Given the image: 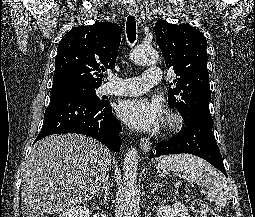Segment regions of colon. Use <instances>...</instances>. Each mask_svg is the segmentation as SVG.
I'll list each match as a JSON object with an SVG mask.
<instances>
[{"mask_svg":"<svg viewBox=\"0 0 255 217\" xmlns=\"http://www.w3.org/2000/svg\"><path fill=\"white\" fill-rule=\"evenodd\" d=\"M192 208L199 217H221L202 199H194Z\"/></svg>","mask_w":255,"mask_h":217,"instance_id":"colon-1","label":"colon"}]
</instances>
